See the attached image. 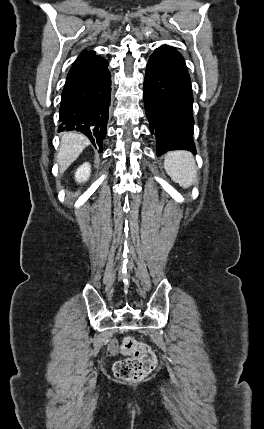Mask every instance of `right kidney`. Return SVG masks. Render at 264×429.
Wrapping results in <instances>:
<instances>
[{"label": "right kidney", "mask_w": 264, "mask_h": 429, "mask_svg": "<svg viewBox=\"0 0 264 429\" xmlns=\"http://www.w3.org/2000/svg\"><path fill=\"white\" fill-rule=\"evenodd\" d=\"M90 177V164L88 162H85L79 168H77V171L75 172V180L79 182H83L88 180Z\"/></svg>", "instance_id": "right-kidney-1"}]
</instances>
